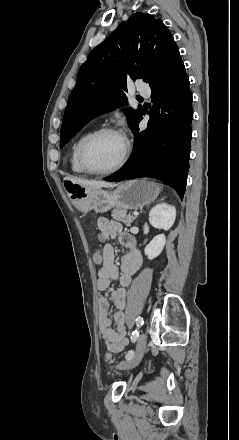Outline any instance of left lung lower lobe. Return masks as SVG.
<instances>
[{"label":"left lung lower lobe","instance_id":"0a47b994","mask_svg":"<svg viewBox=\"0 0 239 440\" xmlns=\"http://www.w3.org/2000/svg\"><path fill=\"white\" fill-rule=\"evenodd\" d=\"M149 85L153 106L148 112V127L139 131L142 113L132 128L135 149L128 164L105 180L160 178L174 183L183 198L189 169L193 110L190 83L177 45L173 46L160 74ZM163 96L165 98L160 99Z\"/></svg>","mask_w":239,"mask_h":440}]
</instances>
